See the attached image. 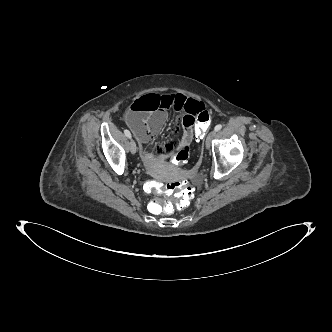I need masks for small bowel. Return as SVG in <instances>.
I'll list each match as a JSON object with an SVG mask.
<instances>
[{"label":"small bowel","instance_id":"c3829d8e","mask_svg":"<svg viewBox=\"0 0 332 332\" xmlns=\"http://www.w3.org/2000/svg\"><path fill=\"white\" fill-rule=\"evenodd\" d=\"M174 110L181 114L183 134L179 140H169L163 151L155 153L145 146L154 141L161 132L168 112ZM205 110L202 102L183 94L163 95L159 91L141 93L126 115V123L132 129L136 139L142 145L141 155L150 164L157 159H170L183 146H190L193 141V129L200 112Z\"/></svg>","mask_w":332,"mask_h":332}]
</instances>
